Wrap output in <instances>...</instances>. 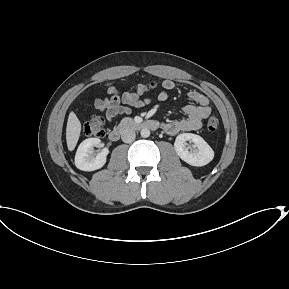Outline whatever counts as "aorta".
<instances>
[{
    "mask_svg": "<svg viewBox=\"0 0 289 289\" xmlns=\"http://www.w3.org/2000/svg\"><path fill=\"white\" fill-rule=\"evenodd\" d=\"M140 134H141V136H142L143 138H147V137L150 136V130L147 129V128H143V129L141 130Z\"/></svg>",
    "mask_w": 289,
    "mask_h": 289,
    "instance_id": "aorta-1",
    "label": "aorta"
}]
</instances>
